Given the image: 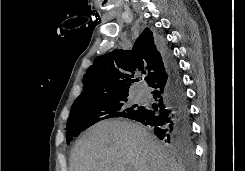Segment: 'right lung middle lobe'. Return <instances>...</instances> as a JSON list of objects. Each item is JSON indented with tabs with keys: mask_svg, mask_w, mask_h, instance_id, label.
Wrapping results in <instances>:
<instances>
[{
	"mask_svg": "<svg viewBox=\"0 0 245 171\" xmlns=\"http://www.w3.org/2000/svg\"><path fill=\"white\" fill-rule=\"evenodd\" d=\"M127 97L128 94H119L97 100L74 101L67 121V143L101 120L136 116L141 111V105L127 102Z\"/></svg>",
	"mask_w": 245,
	"mask_h": 171,
	"instance_id": "1",
	"label": "right lung middle lobe"
}]
</instances>
